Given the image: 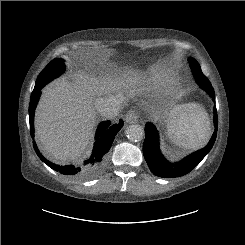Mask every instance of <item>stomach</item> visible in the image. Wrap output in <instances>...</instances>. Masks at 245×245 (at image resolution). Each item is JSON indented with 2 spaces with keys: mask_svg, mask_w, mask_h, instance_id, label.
Segmentation results:
<instances>
[{
  "mask_svg": "<svg viewBox=\"0 0 245 245\" xmlns=\"http://www.w3.org/2000/svg\"><path fill=\"white\" fill-rule=\"evenodd\" d=\"M179 95L174 92H166L159 95L154 102V109L157 114L167 119H176L183 111V105L176 104Z\"/></svg>",
  "mask_w": 245,
  "mask_h": 245,
  "instance_id": "obj_1",
  "label": "stomach"
}]
</instances>
